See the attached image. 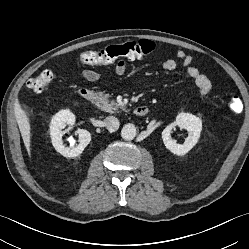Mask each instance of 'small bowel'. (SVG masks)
<instances>
[{
  "label": "small bowel",
  "instance_id": "c3829d8e",
  "mask_svg": "<svg viewBox=\"0 0 249 249\" xmlns=\"http://www.w3.org/2000/svg\"><path fill=\"white\" fill-rule=\"evenodd\" d=\"M179 66L185 68L186 74L191 78L198 88V92L201 96H206L212 89L210 79L198 68L192 65V57L185 53L183 50H179L176 53V59H168L164 61L163 68L167 71H173ZM126 71V64L123 60H120L115 65V73L117 75H123ZM81 75L87 81H95L100 78V73L96 70L84 68L81 70Z\"/></svg>",
  "mask_w": 249,
  "mask_h": 249
}]
</instances>
